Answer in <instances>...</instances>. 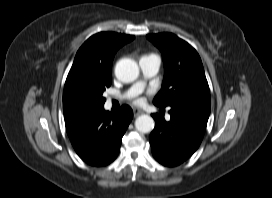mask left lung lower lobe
<instances>
[{"instance_id": "obj_1", "label": "left lung lower lobe", "mask_w": 272, "mask_h": 198, "mask_svg": "<svg viewBox=\"0 0 272 198\" xmlns=\"http://www.w3.org/2000/svg\"><path fill=\"white\" fill-rule=\"evenodd\" d=\"M170 121L152 114L155 128L150 134L154 158L165 166H176L187 160L199 147L210 110L186 105H171Z\"/></svg>"}]
</instances>
